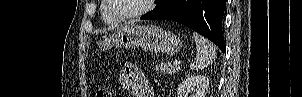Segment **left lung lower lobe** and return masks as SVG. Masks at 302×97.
Instances as JSON below:
<instances>
[{"label":"left lung lower lobe","instance_id":"1","mask_svg":"<svg viewBox=\"0 0 302 97\" xmlns=\"http://www.w3.org/2000/svg\"><path fill=\"white\" fill-rule=\"evenodd\" d=\"M225 0H158L157 6L143 15V20H174L215 43L225 52L222 18Z\"/></svg>","mask_w":302,"mask_h":97}]
</instances>
